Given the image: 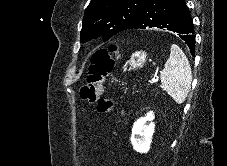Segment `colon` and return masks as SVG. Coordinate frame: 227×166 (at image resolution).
Here are the masks:
<instances>
[{
    "instance_id": "colon-1",
    "label": "colon",
    "mask_w": 227,
    "mask_h": 166,
    "mask_svg": "<svg viewBox=\"0 0 227 166\" xmlns=\"http://www.w3.org/2000/svg\"><path fill=\"white\" fill-rule=\"evenodd\" d=\"M117 50L118 46L113 44L108 49H99L93 54L86 83L80 89L81 99L97 104V110L101 114L109 113L115 106L113 99L102 98L101 95L104 81L114 67L115 60L112 54Z\"/></svg>"
}]
</instances>
